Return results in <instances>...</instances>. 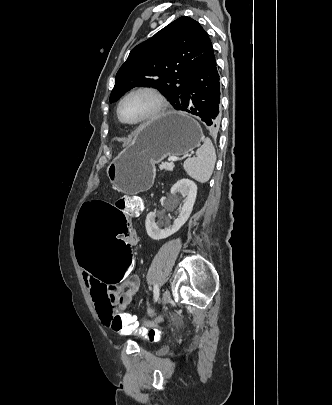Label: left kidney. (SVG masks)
Listing matches in <instances>:
<instances>
[{"instance_id":"5707ae66","label":"left kidney","mask_w":332,"mask_h":405,"mask_svg":"<svg viewBox=\"0 0 332 405\" xmlns=\"http://www.w3.org/2000/svg\"><path fill=\"white\" fill-rule=\"evenodd\" d=\"M181 193L183 205L179 208V216L174 220L173 225L161 229L159 226L169 225V220L161 221L159 224L155 223L157 214L150 212L145 221L147 234L153 240L165 239L172 234L176 233L188 220L193 210L197 195V185L189 179H181L171 188V194ZM162 217V214H159Z\"/></svg>"}]
</instances>
